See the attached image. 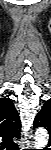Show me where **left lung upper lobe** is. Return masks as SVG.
I'll return each instance as SVG.
<instances>
[{
    "label": "left lung upper lobe",
    "instance_id": "left-lung-upper-lobe-1",
    "mask_svg": "<svg viewBox=\"0 0 51 150\" xmlns=\"http://www.w3.org/2000/svg\"><path fill=\"white\" fill-rule=\"evenodd\" d=\"M34 127H44L51 132V100L44 103L41 111L36 115Z\"/></svg>",
    "mask_w": 51,
    "mask_h": 150
}]
</instances>
